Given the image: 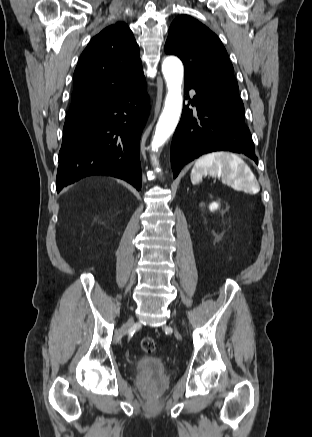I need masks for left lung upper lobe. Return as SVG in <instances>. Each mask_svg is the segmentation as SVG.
<instances>
[{"label": "left lung upper lobe", "instance_id": "1", "mask_svg": "<svg viewBox=\"0 0 312 437\" xmlns=\"http://www.w3.org/2000/svg\"><path fill=\"white\" fill-rule=\"evenodd\" d=\"M165 52L177 55L183 61L185 81L201 92L225 101L245 119L233 66L212 31L196 19L180 15L169 28Z\"/></svg>", "mask_w": 312, "mask_h": 437}]
</instances>
